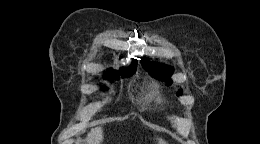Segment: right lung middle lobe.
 Returning <instances> with one entry per match:
<instances>
[{
	"label": "right lung middle lobe",
	"mask_w": 260,
	"mask_h": 144,
	"mask_svg": "<svg viewBox=\"0 0 260 144\" xmlns=\"http://www.w3.org/2000/svg\"><path fill=\"white\" fill-rule=\"evenodd\" d=\"M135 71H131V72H128V73H125V74H122L123 77H129L131 76L132 74H134ZM117 75H113V76H107L108 79H110V81H112V78L116 77Z\"/></svg>",
	"instance_id": "dd1d6c3e"
}]
</instances>
